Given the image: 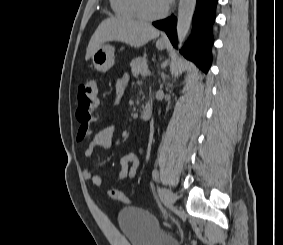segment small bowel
Instances as JSON below:
<instances>
[{
  "instance_id": "c3829d8e",
  "label": "small bowel",
  "mask_w": 283,
  "mask_h": 245,
  "mask_svg": "<svg viewBox=\"0 0 283 245\" xmlns=\"http://www.w3.org/2000/svg\"><path fill=\"white\" fill-rule=\"evenodd\" d=\"M127 84V78L122 77L118 79L116 83V96L114 103H118L122 97ZM117 131L116 124H110L94 134L85 148L84 154L87 158L93 156L96 148L108 150L112 147L113 137ZM141 163V157L139 153H128L121 158V169L116 176V181H121L126 178L133 179L136 177L139 166ZM85 179L89 180L95 186H101L103 184V178L92 172L91 169L85 168L83 171Z\"/></svg>"
}]
</instances>
